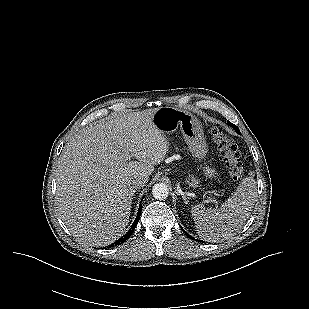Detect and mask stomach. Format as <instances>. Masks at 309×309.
I'll list each match as a JSON object with an SVG mask.
<instances>
[{"label":"stomach","mask_w":309,"mask_h":309,"mask_svg":"<svg viewBox=\"0 0 309 309\" xmlns=\"http://www.w3.org/2000/svg\"><path fill=\"white\" fill-rule=\"evenodd\" d=\"M152 123L167 136L179 129L192 156L199 161L206 156L207 145L201 124L190 112L175 107H161L154 111ZM189 184L197 187L198 179L191 177Z\"/></svg>","instance_id":"1"}]
</instances>
